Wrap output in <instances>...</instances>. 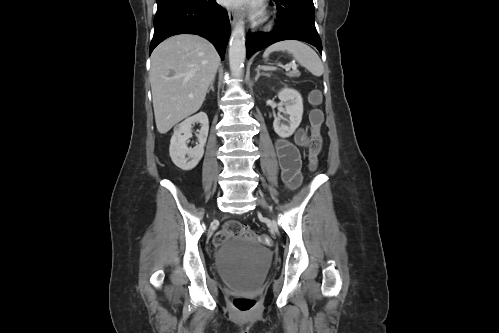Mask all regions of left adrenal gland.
Listing matches in <instances>:
<instances>
[{
  "instance_id": "left-adrenal-gland-1",
  "label": "left adrenal gland",
  "mask_w": 499,
  "mask_h": 333,
  "mask_svg": "<svg viewBox=\"0 0 499 333\" xmlns=\"http://www.w3.org/2000/svg\"><path fill=\"white\" fill-rule=\"evenodd\" d=\"M256 72H257V74H256V77H255V81H258V79H259L260 76H269L268 74L260 73L259 68L256 69Z\"/></svg>"
}]
</instances>
